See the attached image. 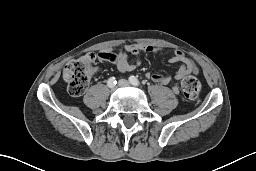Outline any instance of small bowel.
<instances>
[{
	"label": "small bowel",
	"instance_id": "1",
	"mask_svg": "<svg viewBox=\"0 0 256 171\" xmlns=\"http://www.w3.org/2000/svg\"><path fill=\"white\" fill-rule=\"evenodd\" d=\"M159 51L151 45H144L139 43L127 44L118 52H113L111 49H105L100 53L102 60L113 63L116 68L123 73L131 72L138 68L141 64L139 59L134 62L128 61V54L138 55L140 52L146 54H154ZM170 63L178 64L179 69L174 75H163L158 73H149L148 78L160 85L171 84V91L174 94L179 93L180 80L190 73H197L198 69L194 62L182 51L175 50L173 56L169 59Z\"/></svg>",
	"mask_w": 256,
	"mask_h": 171
}]
</instances>
